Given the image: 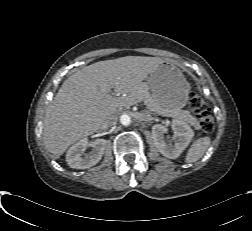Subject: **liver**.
I'll use <instances>...</instances> for the list:
<instances>
[{"mask_svg": "<svg viewBox=\"0 0 252 231\" xmlns=\"http://www.w3.org/2000/svg\"><path fill=\"white\" fill-rule=\"evenodd\" d=\"M162 62L159 57L126 56L93 63L69 76L46 109L47 150L59 157L76 141L97 132L121 106L105 101L111 89L131 94Z\"/></svg>", "mask_w": 252, "mask_h": 231, "instance_id": "6515ba94", "label": "liver"}]
</instances>
